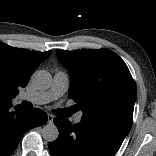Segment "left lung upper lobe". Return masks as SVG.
I'll return each instance as SVG.
<instances>
[{"label":"left lung upper lobe","mask_w":156,"mask_h":156,"mask_svg":"<svg viewBox=\"0 0 156 156\" xmlns=\"http://www.w3.org/2000/svg\"><path fill=\"white\" fill-rule=\"evenodd\" d=\"M56 53L70 72L68 95L82 109L81 121L109 124L128 133L137 91L124 61L109 49Z\"/></svg>","instance_id":"1"}]
</instances>
